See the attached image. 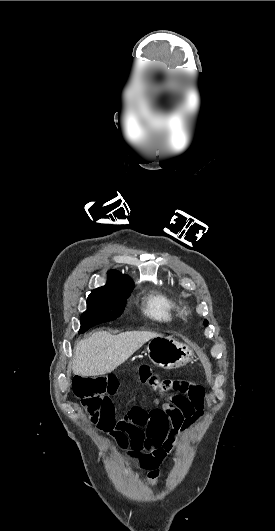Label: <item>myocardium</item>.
<instances>
[{"instance_id": "myocardium-1", "label": "myocardium", "mask_w": 275, "mask_h": 531, "mask_svg": "<svg viewBox=\"0 0 275 531\" xmlns=\"http://www.w3.org/2000/svg\"><path fill=\"white\" fill-rule=\"evenodd\" d=\"M179 310H180V314L184 317L191 315V307L187 303L181 304Z\"/></svg>"}]
</instances>
